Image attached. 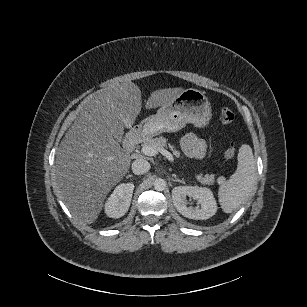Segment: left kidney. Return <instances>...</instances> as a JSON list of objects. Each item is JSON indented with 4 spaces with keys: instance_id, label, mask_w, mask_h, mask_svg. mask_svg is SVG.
<instances>
[{
    "instance_id": "obj_1",
    "label": "left kidney",
    "mask_w": 307,
    "mask_h": 307,
    "mask_svg": "<svg viewBox=\"0 0 307 307\" xmlns=\"http://www.w3.org/2000/svg\"><path fill=\"white\" fill-rule=\"evenodd\" d=\"M187 196L196 200L201 205V208L187 207ZM172 200L177 211L190 219L205 220L212 217L217 211V204L213 193L206 187H175L172 190Z\"/></svg>"
}]
</instances>
